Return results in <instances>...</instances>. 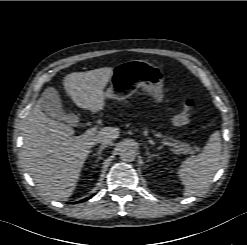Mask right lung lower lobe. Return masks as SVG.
<instances>
[{
  "label": "right lung lower lobe",
  "instance_id": "98d812e1",
  "mask_svg": "<svg viewBox=\"0 0 247 245\" xmlns=\"http://www.w3.org/2000/svg\"><path fill=\"white\" fill-rule=\"evenodd\" d=\"M89 198H90V197H89ZM89 198L83 199L82 201H79V202H83V201H86V200H88Z\"/></svg>",
  "mask_w": 247,
  "mask_h": 245
}]
</instances>
